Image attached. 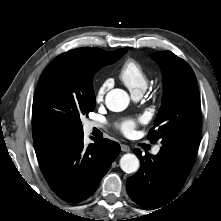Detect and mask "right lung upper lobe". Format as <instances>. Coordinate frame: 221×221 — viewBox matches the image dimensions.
I'll return each mask as SVG.
<instances>
[{
	"instance_id": "cb5924a9",
	"label": "right lung upper lobe",
	"mask_w": 221,
	"mask_h": 221,
	"mask_svg": "<svg viewBox=\"0 0 221 221\" xmlns=\"http://www.w3.org/2000/svg\"><path fill=\"white\" fill-rule=\"evenodd\" d=\"M126 49H118L113 52H106L99 48H78L71 51H68L66 53L61 54V56H68L70 58H73L77 62H83L88 59H93L96 56H102L105 53H121L125 51ZM32 125H33V140L34 144L43 142L47 139L59 137L61 135L44 130L43 125L41 122L32 117Z\"/></svg>"
}]
</instances>
